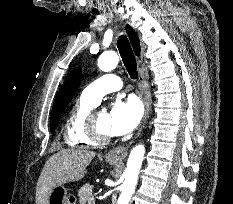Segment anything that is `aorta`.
Returning a JSON list of instances; mask_svg holds the SVG:
<instances>
[{
    "label": "aorta",
    "mask_w": 233,
    "mask_h": 204,
    "mask_svg": "<svg viewBox=\"0 0 233 204\" xmlns=\"http://www.w3.org/2000/svg\"><path fill=\"white\" fill-rule=\"evenodd\" d=\"M118 62L119 56L117 53L105 52L98 59V67L101 71L109 72L116 68ZM144 154L145 147L143 145H137L131 150L124 172L125 180L122 184V192L119 196L118 204H129L135 191Z\"/></svg>",
    "instance_id": "aorta-1"
}]
</instances>
